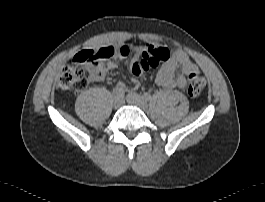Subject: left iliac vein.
<instances>
[{"instance_id":"1","label":"left iliac vein","mask_w":265,"mask_h":202,"mask_svg":"<svg viewBox=\"0 0 265 202\" xmlns=\"http://www.w3.org/2000/svg\"><path fill=\"white\" fill-rule=\"evenodd\" d=\"M126 101L135 107L140 108L141 110H146L148 108L147 101L139 94L129 91L126 96Z\"/></svg>"}]
</instances>
